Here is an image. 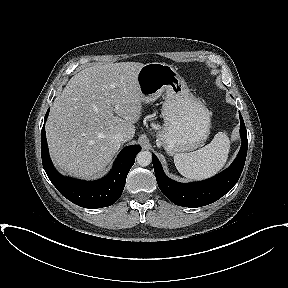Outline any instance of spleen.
I'll use <instances>...</instances> for the list:
<instances>
[{"label":"spleen","mask_w":288,"mask_h":288,"mask_svg":"<svg viewBox=\"0 0 288 288\" xmlns=\"http://www.w3.org/2000/svg\"><path fill=\"white\" fill-rule=\"evenodd\" d=\"M230 141L225 132H218L203 148L176 154L174 164L178 172L188 179H205L219 172L228 159Z\"/></svg>","instance_id":"1"}]
</instances>
